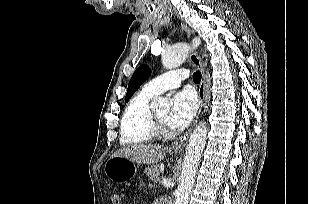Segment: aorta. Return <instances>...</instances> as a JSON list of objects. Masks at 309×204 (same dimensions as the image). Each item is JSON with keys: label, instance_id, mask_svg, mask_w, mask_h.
I'll use <instances>...</instances> for the list:
<instances>
[{"label": "aorta", "instance_id": "aorta-1", "mask_svg": "<svg viewBox=\"0 0 309 204\" xmlns=\"http://www.w3.org/2000/svg\"><path fill=\"white\" fill-rule=\"evenodd\" d=\"M190 46L187 43H178L167 48L162 53V64L166 69L179 67L186 59ZM167 104L163 98L155 99L151 107L161 108ZM207 140V127L205 122L199 123L190 135L183 161L179 184L175 193L174 204H187L189 194L194 185L196 171Z\"/></svg>", "mask_w": 309, "mask_h": 204}]
</instances>
